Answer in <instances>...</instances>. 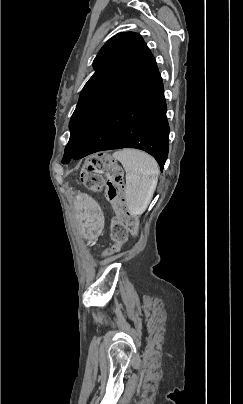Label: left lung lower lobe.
I'll return each mask as SVG.
<instances>
[{
  "instance_id": "left-lung-lower-lobe-1",
  "label": "left lung lower lobe",
  "mask_w": 243,
  "mask_h": 404,
  "mask_svg": "<svg viewBox=\"0 0 243 404\" xmlns=\"http://www.w3.org/2000/svg\"><path fill=\"white\" fill-rule=\"evenodd\" d=\"M160 73L157 72L95 122L78 151L62 163L111 149L136 148L151 154L161 171L168 156L169 125Z\"/></svg>"
}]
</instances>
